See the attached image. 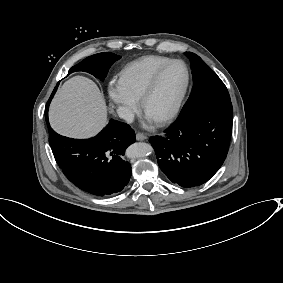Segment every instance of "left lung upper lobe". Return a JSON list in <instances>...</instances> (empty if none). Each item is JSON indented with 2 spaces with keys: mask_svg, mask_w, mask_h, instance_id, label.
Instances as JSON below:
<instances>
[{
  "mask_svg": "<svg viewBox=\"0 0 283 283\" xmlns=\"http://www.w3.org/2000/svg\"><path fill=\"white\" fill-rule=\"evenodd\" d=\"M186 55L191 61L193 88L180 115H184L207 102L230 101L226 86L202 59L192 52H186Z\"/></svg>",
  "mask_w": 283,
  "mask_h": 283,
  "instance_id": "left-lung-upper-lobe-1",
  "label": "left lung upper lobe"
}]
</instances>
